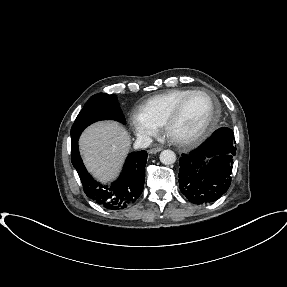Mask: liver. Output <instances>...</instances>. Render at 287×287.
<instances>
[{
    "instance_id": "1",
    "label": "liver",
    "mask_w": 287,
    "mask_h": 287,
    "mask_svg": "<svg viewBox=\"0 0 287 287\" xmlns=\"http://www.w3.org/2000/svg\"><path fill=\"white\" fill-rule=\"evenodd\" d=\"M130 144L128 131L114 121H101L89 126L79 140L85 166L102 183L118 176Z\"/></svg>"
}]
</instances>
